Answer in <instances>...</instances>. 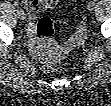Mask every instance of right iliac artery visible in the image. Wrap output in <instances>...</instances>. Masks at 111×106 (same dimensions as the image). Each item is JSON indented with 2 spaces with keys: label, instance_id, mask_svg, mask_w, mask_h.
Returning <instances> with one entry per match:
<instances>
[{
  "label": "right iliac artery",
  "instance_id": "82829eb1",
  "mask_svg": "<svg viewBox=\"0 0 111 106\" xmlns=\"http://www.w3.org/2000/svg\"><path fill=\"white\" fill-rule=\"evenodd\" d=\"M14 5L16 6L17 10H22V9L20 8V5H19L18 2H15Z\"/></svg>",
  "mask_w": 111,
  "mask_h": 106
}]
</instances>
